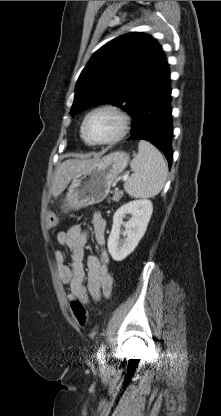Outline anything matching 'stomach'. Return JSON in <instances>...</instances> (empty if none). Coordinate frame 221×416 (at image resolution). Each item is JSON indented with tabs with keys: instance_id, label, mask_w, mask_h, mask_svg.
Listing matches in <instances>:
<instances>
[{
	"instance_id": "obj_1",
	"label": "stomach",
	"mask_w": 221,
	"mask_h": 416,
	"mask_svg": "<svg viewBox=\"0 0 221 416\" xmlns=\"http://www.w3.org/2000/svg\"><path fill=\"white\" fill-rule=\"evenodd\" d=\"M128 162L129 155L126 152L116 151L78 173L68 187L63 200V211L102 202L109 194L112 182L127 167Z\"/></svg>"
}]
</instances>
